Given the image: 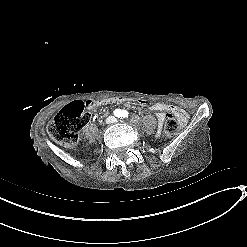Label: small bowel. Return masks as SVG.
<instances>
[{
    "instance_id": "c3829d8e",
    "label": "small bowel",
    "mask_w": 247,
    "mask_h": 247,
    "mask_svg": "<svg viewBox=\"0 0 247 247\" xmlns=\"http://www.w3.org/2000/svg\"><path fill=\"white\" fill-rule=\"evenodd\" d=\"M142 104L146 105L150 111L155 113L159 129L162 128L167 113H173L178 118L180 124L186 122V113L178 107L170 106L163 103H154L147 105L145 102H142Z\"/></svg>"
}]
</instances>
